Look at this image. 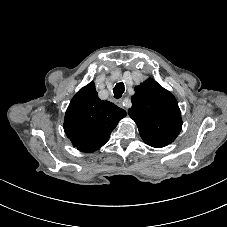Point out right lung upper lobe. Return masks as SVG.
I'll use <instances>...</instances> for the list:
<instances>
[{
    "label": "right lung upper lobe",
    "mask_w": 227,
    "mask_h": 227,
    "mask_svg": "<svg viewBox=\"0 0 227 227\" xmlns=\"http://www.w3.org/2000/svg\"><path fill=\"white\" fill-rule=\"evenodd\" d=\"M125 110L114 103L100 100L94 82L80 89L65 113L64 131L74 147L85 153L101 148Z\"/></svg>",
    "instance_id": "obj_1"
}]
</instances>
